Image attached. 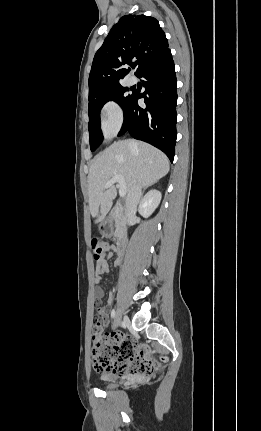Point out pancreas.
Returning <instances> with one entry per match:
<instances>
[{"label": "pancreas", "mask_w": 261, "mask_h": 431, "mask_svg": "<svg viewBox=\"0 0 261 431\" xmlns=\"http://www.w3.org/2000/svg\"><path fill=\"white\" fill-rule=\"evenodd\" d=\"M113 218H114L115 227H116L115 235L119 236L121 230L124 228L126 223V216L121 206L116 207Z\"/></svg>", "instance_id": "obj_1"}]
</instances>
